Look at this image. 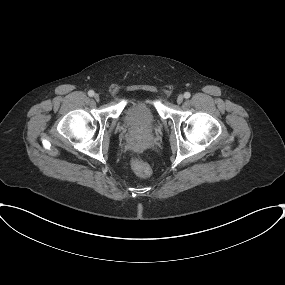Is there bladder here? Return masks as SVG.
I'll list each match as a JSON object with an SVG mask.
<instances>
[{
  "instance_id": "bladder-1",
  "label": "bladder",
  "mask_w": 285,
  "mask_h": 285,
  "mask_svg": "<svg viewBox=\"0 0 285 285\" xmlns=\"http://www.w3.org/2000/svg\"><path fill=\"white\" fill-rule=\"evenodd\" d=\"M125 122L132 130L149 132L156 124V117L149 105L137 102L126 110Z\"/></svg>"
}]
</instances>
